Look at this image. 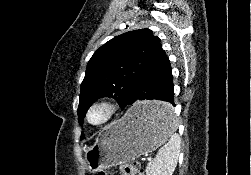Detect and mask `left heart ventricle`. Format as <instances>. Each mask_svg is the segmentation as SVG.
Listing matches in <instances>:
<instances>
[{"label": "left heart ventricle", "mask_w": 251, "mask_h": 175, "mask_svg": "<svg viewBox=\"0 0 251 175\" xmlns=\"http://www.w3.org/2000/svg\"><path fill=\"white\" fill-rule=\"evenodd\" d=\"M108 116V110L103 106L95 107L91 112V120L94 123L103 122Z\"/></svg>", "instance_id": "left-heart-ventricle-1"}]
</instances>
